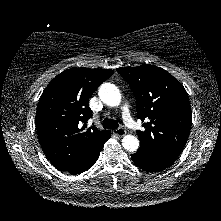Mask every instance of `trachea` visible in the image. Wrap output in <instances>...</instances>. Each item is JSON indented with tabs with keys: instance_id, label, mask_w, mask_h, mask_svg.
<instances>
[{
	"instance_id": "trachea-1",
	"label": "trachea",
	"mask_w": 221,
	"mask_h": 221,
	"mask_svg": "<svg viewBox=\"0 0 221 221\" xmlns=\"http://www.w3.org/2000/svg\"><path fill=\"white\" fill-rule=\"evenodd\" d=\"M102 126L107 129L115 130L119 127V124L116 120L106 118L103 120Z\"/></svg>"
}]
</instances>
